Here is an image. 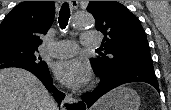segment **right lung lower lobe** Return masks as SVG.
Wrapping results in <instances>:
<instances>
[{"instance_id": "1", "label": "right lung lower lobe", "mask_w": 171, "mask_h": 110, "mask_svg": "<svg viewBox=\"0 0 171 110\" xmlns=\"http://www.w3.org/2000/svg\"><path fill=\"white\" fill-rule=\"evenodd\" d=\"M28 71L32 72L42 83L45 87L49 90L54 92V97L56 98L57 102L60 104L63 98L65 97L64 93L58 91L52 83V80L49 76V71H39L36 69H27Z\"/></svg>"}]
</instances>
